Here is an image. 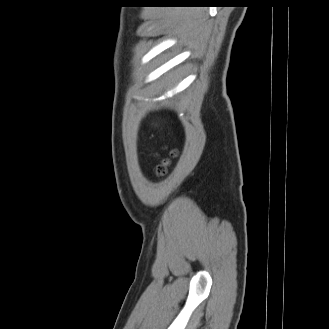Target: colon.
<instances>
[{"instance_id": "5ec220e1", "label": "colon", "mask_w": 329, "mask_h": 329, "mask_svg": "<svg viewBox=\"0 0 329 329\" xmlns=\"http://www.w3.org/2000/svg\"><path fill=\"white\" fill-rule=\"evenodd\" d=\"M168 164H169V159L167 158L162 159L156 166L157 175L162 176L166 174Z\"/></svg>"}]
</instances>
